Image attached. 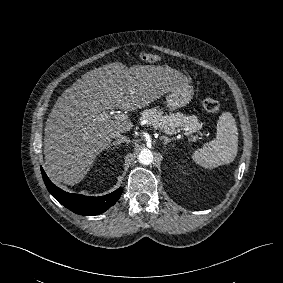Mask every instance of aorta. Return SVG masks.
Here are the masks:
<instances>
[{
  "mask_svg": "<svg viewBox=\"0 0 283 283\" xmlns=\"http://www.w3.org/2000/svg\"><path fill=\"white\" fill-rule=\"evenodd\" d=\"M138 161L143 165L151 164L153 161L152 152L147 148L142 149L138 155Z\"/></svg>",
  "mask_w": 283,
  "mask_h": 283,
  "instance_id": "aorta-1",
  "label": "aorta"
}]
</instances>
